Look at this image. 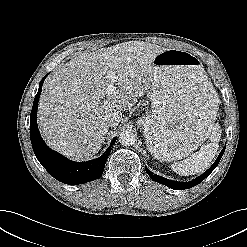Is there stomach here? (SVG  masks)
Returning <instances> with one entry per match:
<instances>
[{
	"mask_svg": "<svg viewBox=\"0 0 247 247\" xmlns=\"http://www.w3.org/2000/svg\"><path fill=\"white\" fill-rule=\"evenodd\" d=\"M152 111L139 125L150 153L160 161L187 157L209 136L218 103L200 60L167 49L153 61Z\"/></svg>",
	"mask_w": 247,
	"mask_h": 247,
	"instance_id": "obj_1",
	"label": "stomach"
}]
</instances>
